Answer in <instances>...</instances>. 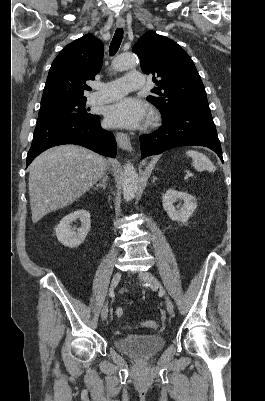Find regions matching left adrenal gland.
Returning <instances> with one entry per match:
<instances>
[{"mask_svg":"<svg viewBox=\"0 0 265 401\" xmlns=\"http://www.w3.org/2000/svg\"><path fill=\"white\" fill-rule=\"evenodd\" d=\"M155 180H156V176H153V180H152V182H155Z\"/></svg>","mask_w":265,"mask_h":401,"instance_id":"left-adrenal-gland-1","label":"left adrenal gland"}]
</instances>
